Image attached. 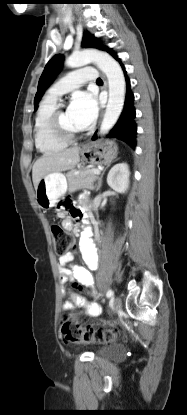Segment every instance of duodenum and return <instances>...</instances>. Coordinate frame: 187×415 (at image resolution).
<instances>
[{"mask_svg":"<svg viewBox=\"0 0 187 415\" xmlns=\"http://www.w3.org/2000/svg\"><path fill=\"white\" fill-rule=\"evenodd\" d=\"M80 221V223L82 224V223H84L85 222V219H81V220H79Z\"/></svg>","mask_w":187,"mask_h":415,"instance_id":"1","label":"duodenum"}]
</instances>
